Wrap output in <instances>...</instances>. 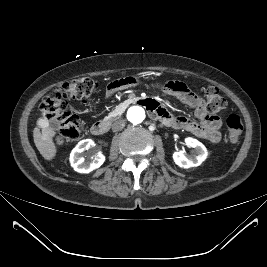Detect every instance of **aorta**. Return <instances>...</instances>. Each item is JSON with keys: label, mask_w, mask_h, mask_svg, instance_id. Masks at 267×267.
Returning <instances> with one entry per match:
<instances>
[{"label": "aorta", "mask_w": 267, "mask_h": 267, "mask_svg": "<svg viewBox=\"0 0 267 267\" xmlns=\"http://www.w3.org/2000/svg\"><path fill=\"white\" fill-rule=\"evenodd\" d=\"M145 117V110L140 106H132L127 112V119L133 124H139L143 122Z\"/></svg>", "instance_id": "762f6f07"}]
</instances>
